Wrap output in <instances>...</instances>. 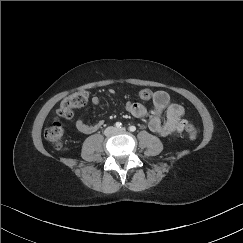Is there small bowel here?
Wrapping results in <instances>:
<instances>
[{
	"label": "small bowel",
	"mask_w": 243,
	"mask_h": 243,
	"mask_svg": "<svg viewBox=\"0 0 243 243\" xmlns=\"http://www.w3.org/2000/svg\"><path fill=\"white\" fill-rule=\"evenodd\" d=\"M110 94L114 91L109 90ZM148 93V96L146 95ZM140 97L142 99H149L152 97L153 111L152 116L149 120V128L152 132L159 136H168L170 134H178L182 132L187 123L183 119L184 108L174 102H171L169 94L164 90H158L151 93L148 89H142L140 91ZM92 103L98 104L100 98L97 95L92 96ZM125 110L131 114L133 117L141 118L147 113V106L140 102L128 101L125 104ZM166 115L165 122H162V115ZM103 121H97L95 123L89 124L83 119H76L75 127L82 133L88 134L93 133L102 127Z\"/></svg>",
	"instance_id": "obj_1"
}]
</instances>
